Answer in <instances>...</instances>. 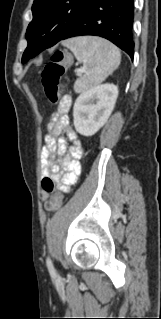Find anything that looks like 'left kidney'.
Wrapping results in <instances>:
<instances>
[{"mask_svg":"<svg viewBox=\"0 0 161 319\" xmlns=\"http://www.w3.org/2000/svg\"><path fill=\"white\" fill-rule=\"evenodd\" d=\"M117 96V86L109 83L83 92L73 108L76 131L84 136L94 135L107 122Z\"/></svg>","mask_w":161,"mask_h":319,"instance_id":"1","label":"left kidney"}]
</instances>
